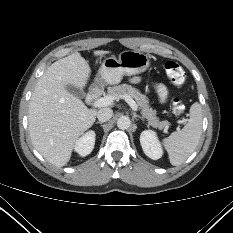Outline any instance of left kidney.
I'll return each mask as SVG.
<instances>
[{
	"instance_id": "left-kidney-1",
	"label": "left kidney",
	"mask_w": 233,
	"mask_h": 233,
	"mask_svg": "<svg viewBox=\"0 0 233 233\" xmlns=\"http://www.w3.org/2000/svg\"><path fill=\"white\" fill-rule=\"evenodd\" d=\"M140 143L146 156L153 160L160 159L163 155L162 145L157 134L152 130H145L140 135Z\"/></svg>"
}]
</instances>
